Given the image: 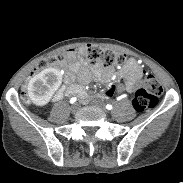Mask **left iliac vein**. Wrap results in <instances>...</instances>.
Instances as JSON below:
<instances>
[{
    "label": "left iliac vein",
    "instance_id": "obj_1",
    "mask_svg": "<svg viewBox=\"0 0 183 183\" xmlns=\"http://www.w3.org/2000/svg\"><path fill=\"white\" fill-rule=\"evenodd\" d=\"M93 105L105 111L104 105L100 101H93Z\"/></svg>",
    "mask_w": 183,
    "mask_h": 183
}]
</instances>
